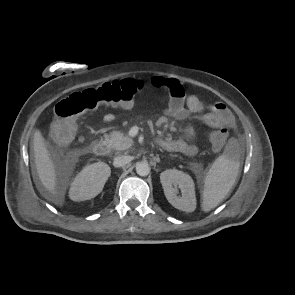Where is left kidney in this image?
<instances>
[{
  "label": "left kidney",
  "instance_id": "5707ae66",
  "mask_svg": "<svg viewBox=\"0 0 295 295\" xmlns=\"http://www.w3.org/2000/svg\"><path fill=\"white\" fill-rule=\"evenodd\" d=\"M160 181L168 202L181 211L193 212L196 208L193 179L186 173L168 169L160 174ZM178 188L181 196H178Z\"/></svg>",
  "mask_w": 295,
  "mask_h": 295
}]
</instances>
